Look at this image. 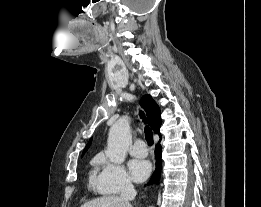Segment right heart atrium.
Returning <instances> with one entry per match:
<instances>
[{
    "mask_svg": "<svg viewBox=\"0 0 261 207\" xmlns=\"http://www.w3.org/2000/svg\"><path fill=\"white\" fill-rule=\"evenodd\" d=\"M100 171L93 184L98 192L105 195L117 194L133 187L132 182L120 164L100 157Z\"/></svg>",
    "mask_w": 261,
    "mask_h": 207,
    "instance_id": "obj_1",
    "label": "right heart atrium"
}]
</instances>
